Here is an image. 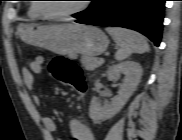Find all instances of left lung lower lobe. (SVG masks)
Listing matches in <instances>:
<instances>
[{"instance_id":"1","label":"left lung lower lobe","mask_w":182,"mask_h":140,"mask_svg":"<svg viewBox=\"0 0 182 140\" xmlns=\"http://www.w3.org/2000/svg\"><path fill=\"white\" fill-rule=\"evenodd\" d=\"M165 0H98L76 22L136 30L156 46L162 37Z\"/></svg>"}]
</instances>
